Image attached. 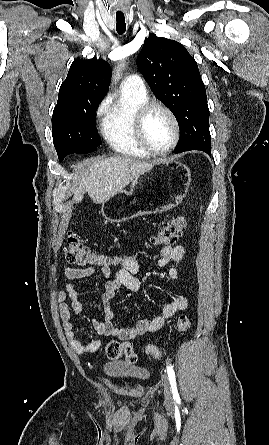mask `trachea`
Returning <instances> with one entry per match:
<instances>
[{
	"label": "trachea",
	"instance_id": "obj_1",
	"mask_svg": "<svg viewBox=\"0 0 269 445\" xmlns=\"http://www.w3.org/2000/svg\"><path fill=\"white\" fill-rule=\"evenodd\" d=\"M116 30L118 34H123L126 31L124 15H116Z\"/></svg>",
	"mask_w": 269,
	"mask_h": 445
}]
</instances>
